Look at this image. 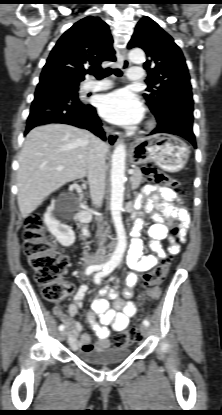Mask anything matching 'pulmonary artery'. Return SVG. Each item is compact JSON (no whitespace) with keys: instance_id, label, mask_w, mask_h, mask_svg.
<instances>
[{"instance_id":"e3ab8cb5","label":"pulmonary artery","mask_w":222,"mask_h":415,"mask_svg":"<svg viewBox=\"0 0 222 415\" xmlns=\"http://www.w3.org/2000/svg\"><path fill=\"white\" fill-rule=\"evenodd\" d=\"M143 69L138 66L131 67L128 71V79L132 82H139L143 79ZM111 86V83L108 81L102 82H86L82 86L83 92H97L104 89H107Z\"/></svg>"}]
</instances>
